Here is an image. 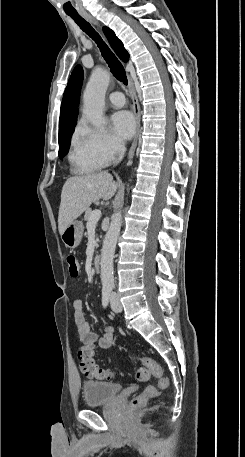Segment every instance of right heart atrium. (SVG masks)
<instances>
[{
	"label": "right heart atrium",
	"mask_w": 245,
	"mask_h": 457,
	"mask_svg": "<svg viewBox=\"0 0 245 457\" xmlns=\"http://www.w3.org/2000/svg\"><path fill=\"white\" fill-rule=\"evenodd\" d=\"M84 144L90 153L107 164L116 159L123 151V143L112 134L90 125L82 128Z\"/></svg>",
	"instance_id": "right-heart-atrium-1"
}]
</instances>
